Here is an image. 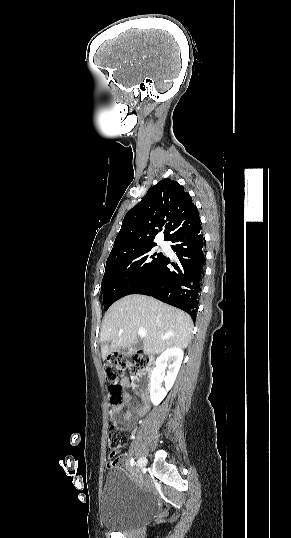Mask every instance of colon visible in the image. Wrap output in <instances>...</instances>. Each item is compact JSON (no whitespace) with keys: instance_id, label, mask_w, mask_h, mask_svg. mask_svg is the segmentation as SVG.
Returning <instances> with one entry per match:
<instances>
[{"instance_id":"obj_1","label":"colon","mask_w":291,"mask_h":538,"mask_svg":"<svg viewBox=\"0 0 291 538\" xmlns=\"http://www.w3.org/2000/svg\"><path fill=\"white\" fill-rule=\"evenodd\" d=\"M148 355L142 351H135L129 355L123 353H113L107 358L105 364V375L109 382V393L111 405L117 404L121 400L120 379L124 372L129 370L131 373L145 372L146 365L149 364ZM126 434L124 429L116 422L109 426L108 446L110 448V461L108 466L115 468L119 465L117 452L125 442Z\"/></svg>"}]
</instances>
